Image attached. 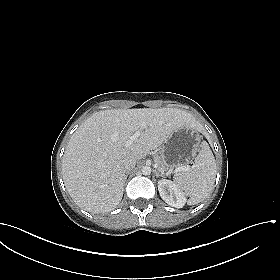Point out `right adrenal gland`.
Wrapping results in <instances>:
<instances>
[{"label":"right adrenal gland","instance_id":"1","mask_svg":"<svg viewBox=\"0 0 280 280\" xmlns=\"http://www.w3.org/2000/svg\"><path fill=\"white\" fill-rule=\"evenodd\" d=\"M128 174H129V172L126 174L125 181H126V179H127V177H128Z\"/></svg>","mask_w":280,"mask_h":280}]
</instances>
